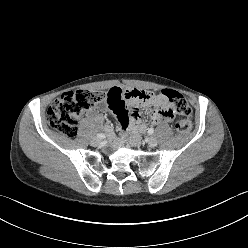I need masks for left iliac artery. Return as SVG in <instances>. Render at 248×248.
I'll return each mask as SVG.
<instances>
[{
	"mask_svg": "<svg viewBox=\"0 0 248 248\" xmlns=\"http://www.w3.org/2000/svg\"><path fill=\"white\" fill-rule=\"evenodd\" d=\"M148 133H149L150 135L153 134V133H154V129L151 128V129L148 131Z\"/></svg>",
	"mask_w": 248,
	"mask_h": 248,
	"instance_id": "left-iliac-artery-1",
	"label": "left iliac artery"
}]
</instances>
